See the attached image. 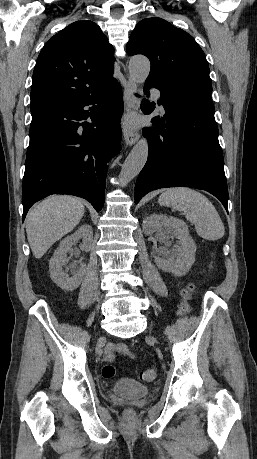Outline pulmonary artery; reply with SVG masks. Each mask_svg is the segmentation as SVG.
I'll return each mask as SVG.
<instances>
[{
	"instance_id": "e3ab8cb5",
	"label": "pulmonary artery",
	"mask_w": 257,
	"mask_h": 459,
	"mask_svg": "<svg viewBox=\"0 0 257 459\" xmlns=\"http://www.w3.org/2000/svg\"><path fill=\"white\" fill-rule=\"evenodd\" d=\"M153 96L156 100L161 102V93L158 90L153 91ZM160 107L163 108L162 103H160Z\"/></svg>"
}]
</instances>
